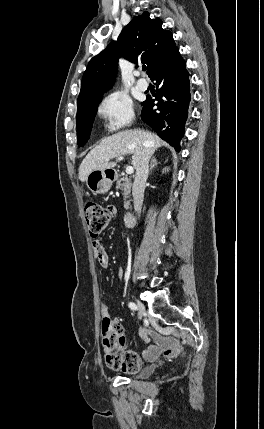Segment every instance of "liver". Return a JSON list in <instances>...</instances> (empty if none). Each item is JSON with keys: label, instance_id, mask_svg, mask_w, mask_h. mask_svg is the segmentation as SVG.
<instances>
[{"label": "liver", "instance_id": "1", "mask_svg": "<svg viewBox=\"0 0 264 429\" xmlns=\"http://www.w3.org/2000/svg\"><path fill=\"white\" fill-rule=\"evenodd\" d=\"M161 145L162 140L157 135L141 129L113 134L104 138L84 158L79 167V180L85 182L89 173L94 170L114 168L116 163L110 160L125 154H132L131 164L136 169L145 148H149L153 154Z\"/></svg>", "mask_w": 264, "mask_h": 429}]
</instances>
